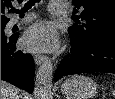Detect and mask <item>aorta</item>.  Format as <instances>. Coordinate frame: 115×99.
Returning a JSON list of instances; mask_svg holds the SVG:
<instances>
[{"instance_id":"762f6f07","label":"aorta","mask_w":115,"mask_h":99,"mask_svg":"<svg viewBox=\"0 0 115 99\" xmlns=\"http://www.w3.org/2000/svg\"><path fill=\"white\" fill-rule=\"evenodd\" d=\"M53 79V65L51 60L46 59L40 66L35 80V99H51Z\"/></svg>"}]
</instances>
